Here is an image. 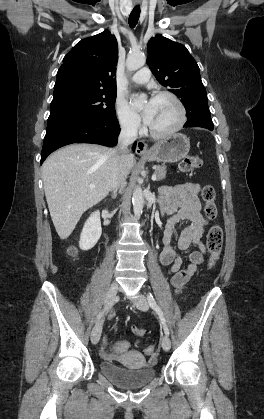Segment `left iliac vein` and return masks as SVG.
<instances>
[{"mask_svg":"<svg viewBox=\"0 0 264 419\" xmlns=\"http://www.w3.org/2000/svg\"><path fill=\"white\" fill-rule=\"evenodd\" d=\"M135 306L142 311H146L149 308L148 301L143 294H139L133 299ZM162 348L164 351H169L171 348V340L168 335H164L161 341Z\"/></svg>","mask_w":264,"mask_h":419,"instance_id":"1","label":"left iliac vein"}]
</instances>
